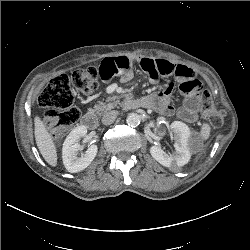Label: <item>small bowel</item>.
<instances>
[{
  "instance_id": "c3829d8e",
  "label": "small bowel",
  "mask_w": 250,
  "mask_h": 250,
  "mask_svg": "<svg viewBox=\"0 0 250 250\" xmlns=\"http://www.w3.org/2000/svg\"><path fill=\"white\" fill-rule=\"evenodd\" d=\"M139 64L149 74L153 82H157L159 77L167 76H173L180 82V91L185 98L183 105L177 110V114L186 122H195L198 118L200 93L203 89L201 82L197 79L196 72L185 65L163 59L142 58L139 60ZM98 69L103 81L118 76L121 81L128 82L133 76L132 63L126 56L105 58ZM172 91V84H164L158 93L136 101L140 106L151 107L171 115L175 112L171 104Z\"/></svg>"
}]
</instances>
